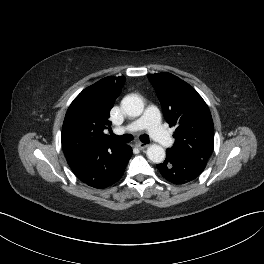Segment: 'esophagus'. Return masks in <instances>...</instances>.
<instances>
[{
	"label": "esophagus",
	"instance_id": "34e87169",
	"mask_svg": "<svg viewBox=\"0 0 264 264\" xmlns=\"http://www.w3.org/2000/svg\"><path fill=\"white\" fill-rule=\"evenodd\" d=\"M135 147L139 148L140 150H144L148 147V144L141 143V142H136Z\"/></svg>",
	"mask_w": 264,
	"mask_h": 264
}]
</instances>
